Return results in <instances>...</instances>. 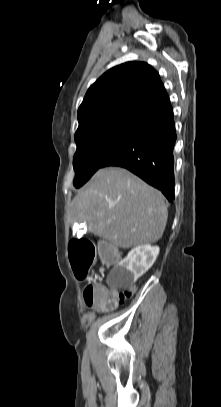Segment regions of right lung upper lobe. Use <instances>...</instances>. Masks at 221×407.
Here are the masks:
<instances>
[{
	"label": "right lung upper lobe",
	"mask_w": 221,
	"mask_h": 407,
	"mask_svg": "<svg viewBox=\"0 0 221 407\" xmlns=\"http://www.w3.org/2000/svg\"><path fill=\"white\" fill-rule=\"evenodd\" d=\"M170 103L159 74L147 63L127 62L104 73L78 109L75 140L94 130L139 124Z\"/></svg>",
	"instance_id": "right-lung-upper-lobe-1"
}]
</instances>
